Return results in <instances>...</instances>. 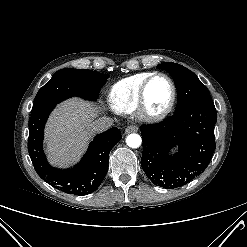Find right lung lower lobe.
<instances>
[{
    "instance_id": "right-lung-lower-lobe-1",
    "label": "right lung lower lobe",
    "mask_w": 247,
    "mask_h": 247,
    "mask_svg": "<svg viewBox=\"0 0 247 247\" xmlns=\"http://www.w3.org/2000/svg\"><path fill=\"white\" fill-rule=\"evenodd\" d=\"M55 106L31 114L28 138L30 158L38 175L54 188L74 195L90 194L97 190L107 174L109 153L122 138L120 130L113 127L98 134L76 166L56 169L49 165L43 152L44 126Z\"/></svg>"
}]
</instances>
